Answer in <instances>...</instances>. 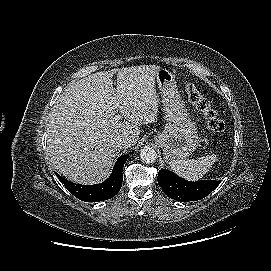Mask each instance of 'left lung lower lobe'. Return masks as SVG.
<instances>
[{
    "mask_svg": "<svg viewBox=\"0 0 271 271\" xmlns=\"http://www.w3.org/2000/svg\"><path fill=\"white\" fill-rule=\"evenodd\" d=\"M158 184L163 192L170 198L181 201H197L209 195L220 181L202 180L190 182L172 171L162 169L158 172Z\"/></svg>",
    "mask_w": 271,
    "mask_h": 271,
    "instance_id": "0a47b994",
    "label": "left lung lower lobe"
}]
</instances>
